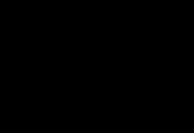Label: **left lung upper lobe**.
I'll return each mask as SVG.
<instances>
[{
  "label": "left lung upper lobe",
  "mask_w": 194,
  "mask_h": 133,
  "mask_svg": "<svg viewBox=\"0 0 194 133\" xmlns=\"http://www.w3.org/2000/svg\"><path fill=\"white\" fill-rule=\"evenodd\" d=\"M120 4L129 9L136 18L137 30L160 22L158 16L151 9L139 5L138 0H122Z\"/></svg>",
  "instance_id": "5c2ea615"
}]
</instances>
